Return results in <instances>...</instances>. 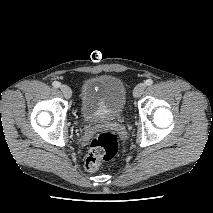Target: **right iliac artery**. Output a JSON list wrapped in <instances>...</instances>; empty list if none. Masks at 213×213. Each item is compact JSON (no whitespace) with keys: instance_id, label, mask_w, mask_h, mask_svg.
Wrapping results in <instances>:
<instances>
[{"instance_id":"right-iliac-artery-1","label":"right iliac artery","mask_w":213,"mask_h":213,"mask_svg":"<svg viewBox=\"0 0 213 213\" xmlns=\"http://www.w3.org/2000/svg\"><path fill=\"white\" fill-rule=\"evenodd\" d=\"M52 85L55 87V88H59L60 87V83L58 81H54L52 83Z\"/></svg>"}]
</instances>
